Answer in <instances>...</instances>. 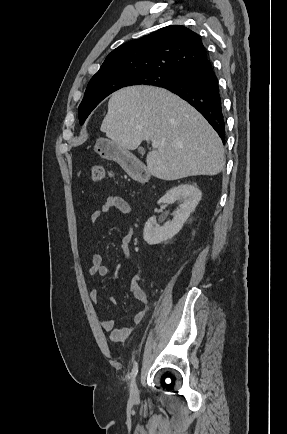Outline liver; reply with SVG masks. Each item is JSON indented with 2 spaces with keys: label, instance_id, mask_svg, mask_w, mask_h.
<instances>
[{
  "label": "liver",
  "instance_id": "liver-1",
  "mask_svg": "<svg viewBox=\"0 0 287 434\" xmlns=\"http://www.w3.org/2000/svg\"><path fill=\"white\" fill-rule=\"evenodd\" d=\"M100 130L126 150H135L143 140L158 142L146 163L162 180L213 176L225 166L222 141L206 119L162 88L132 86L113 93Z\"/></svg>",
  "mask_w": 287,
  "mask_h": 434
}]
</instances>
